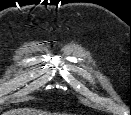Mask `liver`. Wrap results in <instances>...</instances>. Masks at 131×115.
Listing matches in <instances>:
<instances>
[{"label": "liver", "mask_w": 131, "mask_h": 115, "mask_svg": "<svg viewBox=\"0 0 131 115\" xmlns=\"http://www.w3.org/2000/svg\"><path fill=\"white\" fill-rule=\"evenodd\" d=\"M36 113H40V112H36L28 109H18V110L9 111L5 115H46V114H36Z\"/></svg>", "instance_id": "obj_1"}]
</instances>
